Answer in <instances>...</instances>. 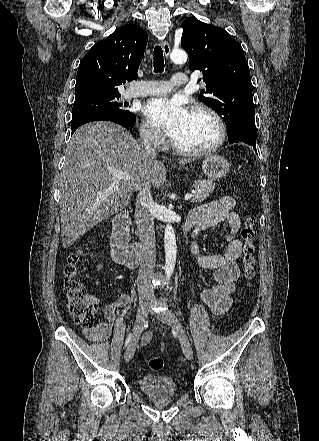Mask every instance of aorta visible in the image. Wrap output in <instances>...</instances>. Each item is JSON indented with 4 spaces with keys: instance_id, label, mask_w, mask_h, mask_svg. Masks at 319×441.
I'll return each mask as SVG.
<instances>
[{
    "instance_id": "762f6f07",
    "label": "aorta",
    "mask_w": 319,
    "mask_h": 441,
    "mask_svg": "<svg viewBox=\"0 0 319 441\" xmlns=\"http://www.w3.org/2000/svg\"><path fill=\"white\" fill-rule=\"evenodd\" d=\"M170 59L175 64H183L187 61V53L183 49L173 50L170 54ZM164 246L165 274L167 278H170L175 268L177 253L175 231L170 224L165 227Z\"/></svg>"
}]
</instances>
